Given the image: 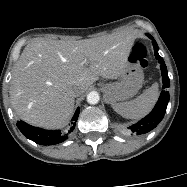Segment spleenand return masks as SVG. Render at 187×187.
<instances>
[{
  "mask_svg": "<svg viewBox=\"0 0 187 187\" xmlns=\"http://www.w3.org/2000/svg\"><path fill=\"white\" fill-rule=\"evenodd\" d=\"M159 96L158 84L154 83L136 99L112 104L113 109L128 119H138L151 111Z\"/></svg>",
  "mask_w": 187,
  "mask_h": 187,
  "instance_id": "obj_1",
  "label": "spleen"
}]
</instances>
